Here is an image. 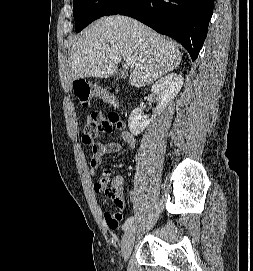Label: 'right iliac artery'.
I'll use <instances>...</instances> for the list:
<instances>
[{
  "label": "right iliac artery",
  "mask_w": 253,
  "mask_h": 271,
  "mask_svg": "<svg viewBox=\"0 0 253 271\" xmlns=\"http://www.w3.org/2000/svg\"><path fill=\"white\" fill-rule=\"evenodd\" d=\"M133 220H134L133 217L128 218V219L125 221V223L123 224L122 229H123L124 231H126V230L132 225Z\"/></svg>",
  "instance_id": "obj_1"
}]
</instances>
